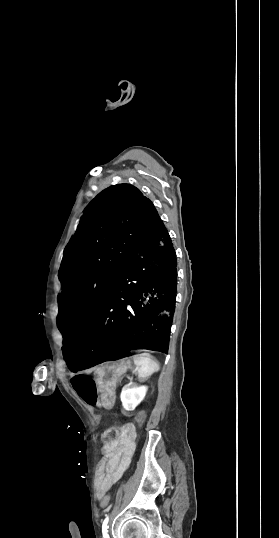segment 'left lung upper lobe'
I'll list each match as a JSON object with an SVG mask.
<instances>
[{"label": "left lung upper lobe", "instance_id": "left-lung-upper-lobe-1", "mask_svg": "<svg viewBox=\"0 0 279 538\" xmlns=\"http://www.w3.org/2000/svg\"><path fill=\"white\" fill-rule=\"evenodd\" d=\"M158 217L153 203L130 184L111 186L91 201L61 262L57 325L63 336L92 321Z\"/></svg>", "mask_w": 279, "mask_h": 538}]
</instances>
